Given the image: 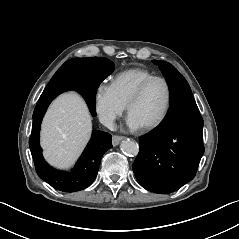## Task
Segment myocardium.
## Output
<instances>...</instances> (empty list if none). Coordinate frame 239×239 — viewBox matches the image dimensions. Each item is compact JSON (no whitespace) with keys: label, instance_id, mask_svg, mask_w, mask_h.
Returning a JSON list of instances; mask_svg holds the SVG:
<instances>
[{"label":"myocardium","instance_id":"1","mask_svg":"<svg viewBox=\"0 0 239 239\" xmlns=\"http://www.w3.org/2000/svg\"><path fill=\"white\" fill-rule=\"evenodd\" d=\"M155 81H162L165 84L166 90H167V100H166V105H165L164 111L162 112L160 117L157 120H155L154 122L147 124L145 126H142V128L145 131H150V130H154V129L158 128L167 119V117L170 113L171 107H172V100H173L171 84L169 83V81L166 78H164L162 76H152V77L148 78L147 80H145L135 90V92L132 94L131 98L129 99V101L127 103V112L130 114L134 105L142 98V96L145 93V91L147 90V88Z\"/></svg>","mask_w":239,"mask_h":239}]
</instances>
